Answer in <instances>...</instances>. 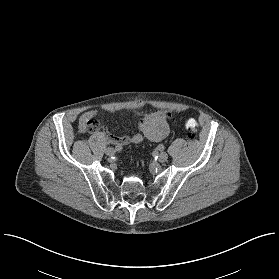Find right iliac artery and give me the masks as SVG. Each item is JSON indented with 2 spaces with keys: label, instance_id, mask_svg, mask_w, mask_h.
<instances>
[{
  "label": "right iliac artery",
  "instance_id": "right-iliac-artery-1",
  "mask_svg": "<svg viewBox=\"0 0 279 279\" xmlns=\"http://www.w3.org/2000/svg\"><path fill=\"white\" fill-rule=\"evenodd\" d=\"M121 150H122V146H119V145L115 146V151L119 152Z\"/></svg>",
  "mask_w": 279,
  "mask_h": 279
}]
</instances>
